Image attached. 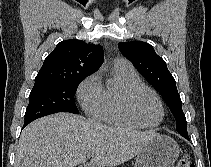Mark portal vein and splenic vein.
<instances>
[{
  "label": "portal vein and splenic vein",
  "mask_w": 211,
  "mask_h": 167,
  "mask_svg": "<svg viewBox=\"0 0 211 167\" xmlns=\"http://www.w3.org/2000/svg\"><path fill=\"white\" fill-rule=\"evenodd\" d=\"M87 157H89V158H90V157H92V155H91V154H88V155H87Z\"/></svg>",
  "instance_id": "obj_1"
}]
</instances>
